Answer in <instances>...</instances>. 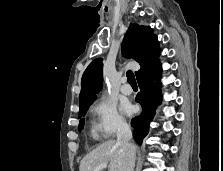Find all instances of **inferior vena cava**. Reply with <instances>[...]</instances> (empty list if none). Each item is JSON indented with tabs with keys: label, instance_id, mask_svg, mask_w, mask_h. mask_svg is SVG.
I'll return each mask as SVG.
<instances>
[{
	"label": "inferior vena cava",
	"instance_id": "1",
	"mask_svg": "<svg viewBox=\"0 0 223 171\" xmlns=\"http://www.w3.org/2000/svg\"><path fill=\"white\" fill-rule=\"evenodd\" d=\"M132 132L128 124L121 123L117 133V143L125 151L124 171H134L135 166V146L130 143Z\"/></svg>",
	"mask_w": 223,
	"mask_h": 171
}]
</instances>
